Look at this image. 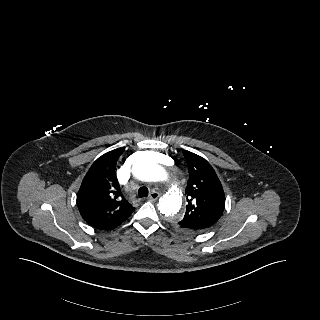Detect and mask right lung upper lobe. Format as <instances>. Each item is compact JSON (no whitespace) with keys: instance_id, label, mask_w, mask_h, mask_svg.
I'll return each instance as SVG.
<instances>
[{"instance_id":"right-lung-upper-lobe-1","label":"right lung upper lobe","mask_w":320,"mask_h":320,"mask_svg":"<svg viewBox=\"0 0 320 320\" xmlns=\"http://www.w3.org/2000/svg\"><path fill=\"white\" fill-rule=\"evenodd\" d=\"M123 153L114 149L100 156L85 175L77 195L82 218L99 230H112L135 210L123 197L116 177V162Z\"/></svg>"}]
</instances>
